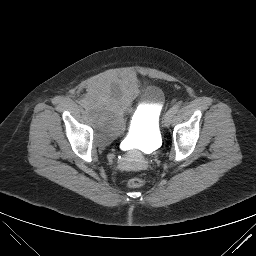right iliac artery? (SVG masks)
Wrapping results in <instances>:
<instances>
[{"mask_svg":"<svg viewBox=\"0 0 256 256\" xmlns=\"http://www.w3.org/2000/svg\"><path fill=\"white\" fill-rule=\"evenodd\" d=\"M81 105L85 106L86 105V101L85 100H81Z\"/></svg>","mask_w":256,"mask_h":256,"instance_id":"1","label":"right iliac artery"}]
</instances>
